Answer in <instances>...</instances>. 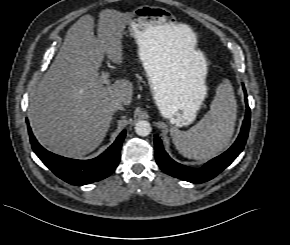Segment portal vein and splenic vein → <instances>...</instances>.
<instances>
[{"mask_svg":"<svg viewBox=\"0 0 290 245\" xmlns=\"http://www.w3.org/2000/svg\"><path fill=\"white\" fill-rule=\"evenodd\" d=\"M100 82L102 84H107L109 82V75L108 73H103L101 76H100Z\"/></svg>","mask_w":290,"mask_h":245,"instance_id":"portal-vein-and-splenic-vein-1","label":"portal vein and splenic vein"}]
</instances>
